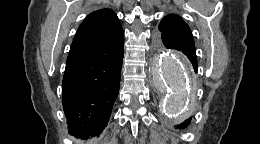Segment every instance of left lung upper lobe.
<instances>
[{
    "mask_svg": "<svg viewBox=\"0 0 260 144\" xmlns=\"http://www.w3.org/2000/svg\"><path fill=\"white\" fill-rule=\"evenodd\" d=\"M158 29L160 31L159 36L161 37V41L163 35L193 39L189 26L182 20L181 17L175 14L165 16L161 20Z\"/></svg>",
    "mask_w": 260,
    "mask_h": 144,
    "instance_id": "obj_1",
    "label": "left lung upper lobe"
}]
</instances>
